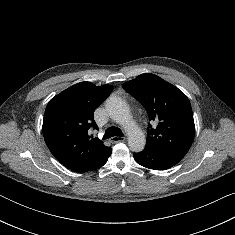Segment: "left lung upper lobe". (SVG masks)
I'll use <instances>...</instances> for the list:
<instances>
[{
	"instance_id": "obj_1",
	"label": "left lung upper lobe",
	"mask_w": 235,
	"mask_h": 235,
	"mask_svg": "<svg viewBox=\"0 0 235 235\" xmlns=\"http://www.w3.org/2000/svg\"><path fill=\"white\" fill-rule=\"evenodd\" d=\"M123 88L147 110L149 119L146 146L186 155L190 149L195 125L187 96L174 85L151 73L141 74L123 84Z\"/></svg>"
}]
</instances>
